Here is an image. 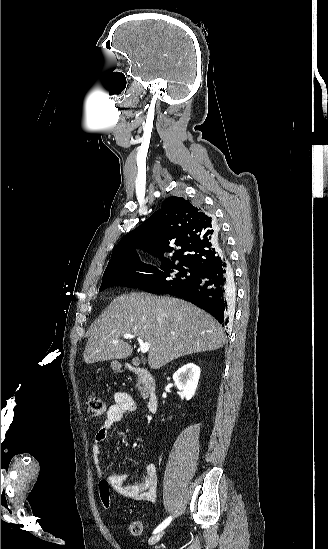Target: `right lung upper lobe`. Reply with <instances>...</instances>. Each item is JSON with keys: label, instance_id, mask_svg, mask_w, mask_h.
Returning a JSON list of instances; mask_svg holds the SVG:
<instances>
[{"label": "right lung upper lobe", "instance_id": "obj_1", "mask_svg": "<svg viewBox=\"0 0 328 549\" xmlns=\"http://www.w3.org/2000/svg\"><path fill=\"white\" fill-rule=\"evenodd\" d=\"M175 251L171 259L165 251ZM136 247L146 249L162 263L198 270L226 256L223 239L215 219L183 197H169L162 208L139 227L125 235L114 249L107 268L126 260H138ZM192 252L184 256V252ZM106 268V269H107Z\"/></svg>", "mask_w": 328, "mask_h": 549}]
</instances>
